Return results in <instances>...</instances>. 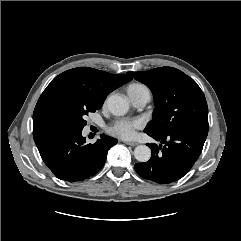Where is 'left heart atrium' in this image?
Instances as JSON below:
<instances>
[{"label": "left heart atrium", "mask_w": 241, "mask_h": 241, "mask_svg": "<svg viewBox=\"0 0 241 241\" xmlns=\"http://www.w3.org/2000/svg\"><path fill=\"white\" fill-rule=\"evenodd\" d=\"M143 124V120L139 118H118L108 126L107 130L114 136L130 139L135 136L136 131L140 129Z\"/></svg>", "instance_id": "obj_1"}]
</instances>
